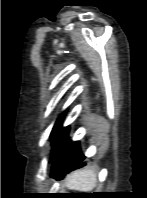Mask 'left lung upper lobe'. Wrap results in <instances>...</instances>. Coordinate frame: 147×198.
Returning a JSON list of instances; mask_svg holds the SVG:
<instances>
[{
  "label": "left lung upper lobe",
  "instance_id": "left-lung-upper-lobe-1",
  "mask_svg": "<svg viewBox=\"0 0 147 198\" xmlns=\"http://www.w3.org/2000/svg\"><path fill=\"white\" fill-rule=\"evenodd\" d=\"M62 119H63V114L59 116L51 132V140L53 142L52 154L54 153L55 149L63 140V138L65 137V135L68 133L69 130V126L64 129H61Z\"/></svg>",
  "mask_w": 147,
  "mask_h": 198
}]
</instances>
